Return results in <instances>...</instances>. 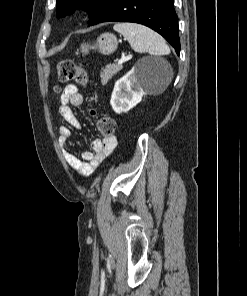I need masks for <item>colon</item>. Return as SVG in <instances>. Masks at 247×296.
<instances>
[{
	"label": "colon",
	"mask_w": 247,
	"mask_h": 296,
	"mask_svg": "<svg viewBox=\"0 0 247 296\" xmlns=\"http://www.w3.org/2000/svg\"><path fill=\"white\" fill-rule=\"evenodd\" d=\"M57 80L59 84L75 82L79 85H87L89 82L88 73L81 63L72 60H63L58 65ZM58 86L56 90L58 91ZM90 114L96 118L97 127L104 139L113 137L116 129L115 121L106 115H101L95 108L90 109Z\"/></svg>",
	"instance_id": "colon-1"
}]
</instances>
